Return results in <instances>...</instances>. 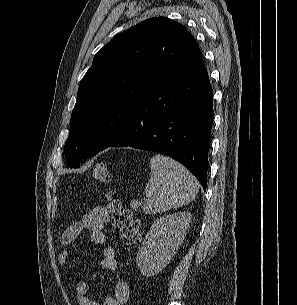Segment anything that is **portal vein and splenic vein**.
<instances>
[{
    "mask_svg": "<svg viewBox=\"0 0 297 305\" xmlns=\"http://www.w3.org/2000/svg\"><path fill=\"white\" fill-rule=\"evenodd\" d=\"M138 204H139L138 202H135V203H134V207H137V206H138Z\"/></svg>",
    "mask_w": 297,
    "mask_h": 305,
    "instance_id": "portal-vein-and-splenic-vein-1",
    "label": "portal vein and splenic vein"
}]
</instances>
